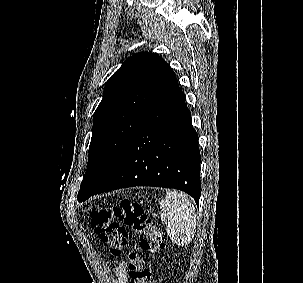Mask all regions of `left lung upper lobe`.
<instances>
[{
    "label": "left lung upper lobe",
    "instance_id": "left-lung-upper-lobe-1",
    "mask_svg": "<svg viewBox=\"0 0 303 283\" xmlns=\"http://www.w3.org/2000/svg\"><path fill=\"white\" fill-rule=\"evenodd\" d=\"M170 71L161 56L140 52L109 78L93 115L87 170L78 194L97 189L111 175Z\"/></svg>",
    "mask_w": 303,
    "mask_h": 283
}]
</instances>
